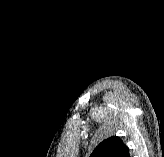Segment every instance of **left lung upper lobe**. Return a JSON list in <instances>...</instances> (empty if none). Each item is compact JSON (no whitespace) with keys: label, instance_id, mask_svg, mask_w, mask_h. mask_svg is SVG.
I'll use <instances>...</instances> for the list:
<instances>
[{"label":"left lung upper lobe","instance_id":"5c2ea615","mask_svg":"<svg viewBox=\"0 0 164 157\" xmlns=\"http://www.w3.org/2000/svg\"><path fill=\"white\" fill-rule=\"evenodd\" d=\"M90 157H130L128 147L122 140L113 136L101 142Z\"/></svg>","mask_w":164,"mask_h":157}]
</instances>
